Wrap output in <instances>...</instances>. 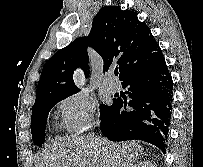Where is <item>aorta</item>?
<instances>
[{
    "instance_id": "1",
    "label": "aorta",
    "mask_w": 203,
    "mask_h": 167,
    "mask_svg": "<svg viewBox=\"0 0 203 167\" xmlns=\"http://www.w3.org/2000/svg\"><path fill=\"white\" fill-rule=\"evenodd\" d=\"M76 83H77L78 86H81V84H82V79H81L80 77H77V78H76Z\"/></svg>"
}]
</instances>
